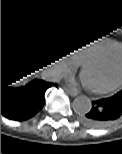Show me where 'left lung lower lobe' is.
Returning a JSON list of instances; mask_svg holds the SVG:
<instances>
[{"label":"left lung lower lobe","instance_id":"obj_1","mask_svg":"<svg viewBox=\"0 0 122 154\" xmlns=\"http://www.w3.org/2000/svg\"><path fill=\"white\" fill-rule=\"evenodd\" d=\"M122 115V90L112 97L92 102V109L81 117L84 126L103 128Z\"/></svg>","mask_w":122,"mask_h":154}]
</instances>
